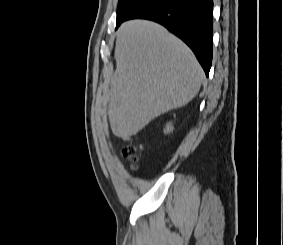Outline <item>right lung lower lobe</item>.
<instances>
[{
  "label": "right lung lower lobe",
  "instance_id": "1",
  "mask_svg": "<svg viewBox=\"0 0 283 245\" xmlns=\"http://www.w3.org/2000/svg\"><path fill=\"white\" fill-rule=\"evenodd\" d=\"M134 18L156 21L181 38L208 76L212 62L213 0H148L125 20Z\"/></svg>",
  "mask_w": 283,
  "mask_h": 245
}]
</instances>
